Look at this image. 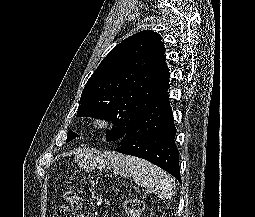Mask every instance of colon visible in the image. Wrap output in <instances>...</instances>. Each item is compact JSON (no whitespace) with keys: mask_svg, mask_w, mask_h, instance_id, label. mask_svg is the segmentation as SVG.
<instances>
[{"mask_svg":"<svg viewBox=\"0 0 255 217\" xmlns=\"http://www.w3.org/2000/svg\"><path fill=\"white\" fill-rule=\"evenodd\" d=\"M65 203L55 208L53 217H74V211L82 207L83 201L74 191L64 195ZM124 209L127 217H141L143 202L139 198L126 200Z\"/></svg>","mask_w":255,"mask_h":217,"instance_id":"5ec220e1","label":"colon"}]
</instances>
